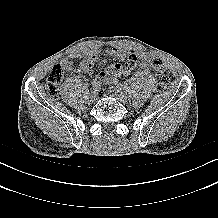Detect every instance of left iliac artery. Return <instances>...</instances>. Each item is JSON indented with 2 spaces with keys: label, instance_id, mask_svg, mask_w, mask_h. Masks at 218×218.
Instances as JSON below:
<instances>
[{
  "label": "left iliac artery",
  "instance_id": "44dca946",
  "mask_svg": "<svg viewBox=\"0 0 218 218\" xmlns=\"http://www.w3.org/2000/svg\"><path fill=\"white\" fill-rule=\"evenodd\" d=\"M115 88L119 89L121 93H124L126 90L117 82L114 83Z\"/></svg>",
  "mask_w": 218,
  "mask_h": 218
}]
</instances>
